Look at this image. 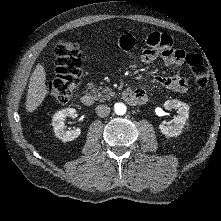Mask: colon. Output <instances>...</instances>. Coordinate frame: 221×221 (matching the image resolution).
Here are the masks:
<instances>
[{"instance_id": "1", "label": "colon", "mask_w": 221, "mask_h": 221, "mask_svg": "<svg viewBox=\"0 0 221 221\" xmlns=\"http://www.w3.org/2000/svg\"><path fill=\"white\" fill-rule=\"evenodd\" d=\"M56 75L48 83L50 95L60 104H66L73 96L82 74L81 52L79 45L72 41H61L54 50ZM196 86L206 88L209 71L200 55L186 56Z\"/></svg>"}]
</instances>
